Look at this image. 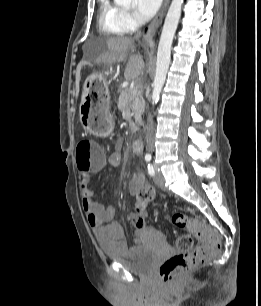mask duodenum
Listing matches in <instances>:
<instances>
[{"label":"duodenum","mask_w":261,"mask_h":306,"mask_svg":"<svg viewBox=\"0 0 261 306\" xmlns=\"http://www.w3.org/2000/svg\"><path fill=\"white\" fill-rule=\"evenodd\" d=\"M133 150L137 153H140L143 149L142 139L134 140L132 143Z\"/></svg>","instance_id":"410a0bca"}]
</instances>
